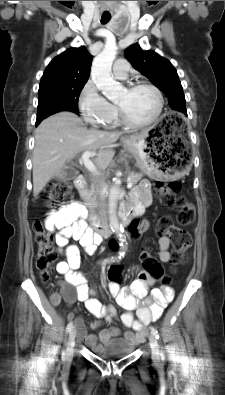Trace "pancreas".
<instances>
[{"label": "pancreas", "instance_id": "cf45deb5", "mask_svg": "<svg viewBox=\"0 0 225 395\" xmlns=\"http://www.w3.org/2000/svg\"><path fill=\"white\" fill-rule=\"evenodd\" d=\"M143 177L141 173H131L129 175L130 181L134 184ZM81 198L85 201V205L92 211L97 207V198L100 194L99 187L95 184H92L90 189H80L79 190Z\"/></svg>", "mask_w": 225, "mask_h": 395}]
</instances>
